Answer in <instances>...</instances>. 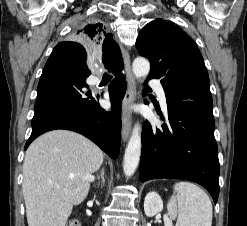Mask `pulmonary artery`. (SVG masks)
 Here are the masks:
<instances>
[{"instance_id": "pulmonary-artery-1", "label": "pulmonary artery", "mask_w": 247, "mask_h": 226, "mask_svg": "<svg viewBox=\"0 0 247 226\" xmlns=\"http://www.w3.org/2000/svg\"><path fill=\"white\" fill-rule=\"evenodd\" d=\"M150 86L157 92L158 98L160 100L163 109H166L167 107L166 97L161 83L157 80H152L150 81Z\"/></svg>"}]
</instances>
